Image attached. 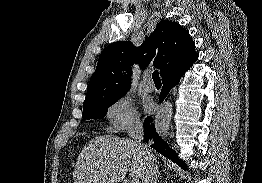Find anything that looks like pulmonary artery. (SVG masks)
Instances as JSON below:
<instances>
[{
	"label": "pulmonary artery",
	"mask_w": 262,
	"mask_h": 183,
	"mask_svg": "<svg viewBox=\"0 0 262 183\" xmlns=\"http://www.w3.org/2000/svg\"><path fill=\"white\" fill-rule=\"evenodd\" d=\"M142 87L144 90L151 92L154 90V83L150 80L149 75H145L142 81Z\"/></svg>",
	"instance_id": "obj_1"
}]
</instances>
